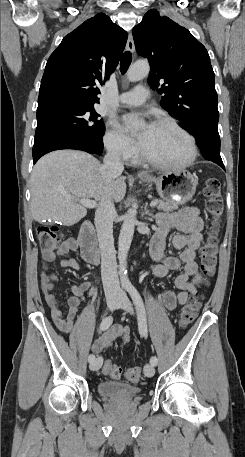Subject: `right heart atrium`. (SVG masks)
Listing matches in <instances>:
<instances>
[{
	"mask_svg": "<svg viewBox=\"0 0 245 457\" xmlns=\"http://www.w3.org/2000/svg\"><path fill=\"white\" fill-rule=\"evenodd\" d=\"M105 145L113 155L130 162L136 155V148L115 125L107 131L104 137Z\"/></svg>",
	"mask_w": 245,
	"mask_h": 457,
	"instance_id": "right-heart-atrium-1",
	"label": "right heart atrium"
}]
</instances>
